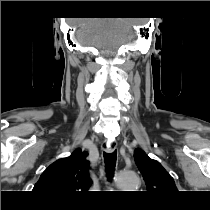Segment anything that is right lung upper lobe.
Returning a JSON list of instances; mask_svg holds the SVG:
<instances>
[{
    "label": "right lung upper lobe",
    "mask_w": 210,
    "mask_h": 210,
    "mask_svg": "<svg viewBox=\"0 0 210 210\" xmlns=\"http://www.w3.org/2000/svg\"><path fill=\"white\" fill-rule=\"evenodd\" d=\"M86 152L74 151L69 157L51 164L40 176L33 191L58 203L68 202L88 190L91 178Z\"/></svg>",
    "instance_id": "obj_1"
}]
</instances>
